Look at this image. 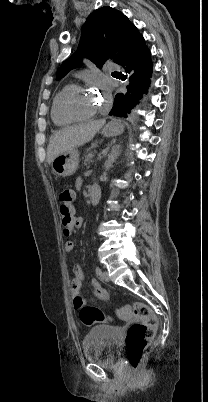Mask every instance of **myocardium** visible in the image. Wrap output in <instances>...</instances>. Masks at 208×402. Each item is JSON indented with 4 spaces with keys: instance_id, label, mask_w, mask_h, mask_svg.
<instances>
[{
    "instance_id": "1",
    "label": "myocardium",
    "mask_w": 208,
    "mask_h": 402,
    "mask_svg": "<svg viewBox=\"0 0 208 402\" xmlns=\"http://www.w3.org/2000/svg\"><path fill=\"white\" fill-rule=\"evenodd\" d=\"M85 90V87L82 85H72L67 91L63 94L62 99H61V108L63 112L74 119H80V120H85L88 118H91L98 110L99 107L101 106V103L103 102L102 100L90 111L88 112H79L74 110L71 105H70V98L73 94L79 91Z\"/></svg>"
}]
</instances>
